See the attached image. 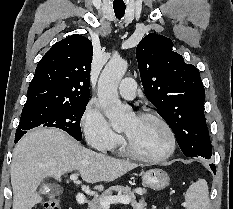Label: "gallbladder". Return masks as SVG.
<instances>
[{
  "mask_svg": "<svg viewBox=\"0 0 233 209\" xmlns=\"http://www.w3.org/2000/svg\"><path fill=\"white\" fill-rule=\"evenodd\" d=\"M40 191L42 194L48 195L50 197L58 196L63 192L61 187H58V186L52 187L50 185H42V188Z\"/></svg>",
  "mask_w": 233,
  "mask_h": 209,
  "instance_id": "1",
  "label": "gallbladder"
}]
</instances>
